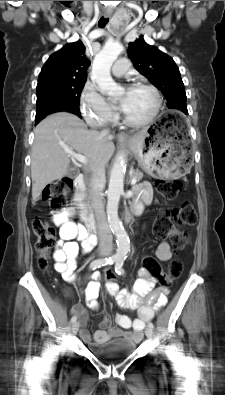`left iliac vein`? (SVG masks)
Returning a JSON list of instances; mask_svg holds the SVG:
<instances>
[{
  "instance_id": "left-iliac-vein-1",
  "label": "left iliac vein",
  "mask_w": 225,
  "mask_h": 395,
  "mask_svg": "<svg viewBox=\"0 0 225 395\" xmlns=\"http://www.w3.org/2000/svg\"><path fill=\"white\" fill-rule=\"evenodd\" d=\"M145 335L148 337V338H152L153 337V330H152V328H150V327H147L146 329H145Z\"/></svg>"
}]
</instances>
